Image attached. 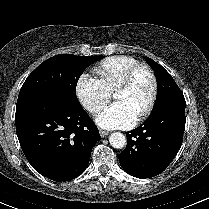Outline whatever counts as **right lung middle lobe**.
Listing matches in <instances>:
<instances>
[{
    "label": "right lung middle lobe",
    "instance_id": "obj_1",
    "mask_svg": "<svg viewBox=\"0 0 209 209\" xmlns=\"http://www.w3.org/2000/svg\"><path fill=\"white\" fill-rule=\"evenodd\" d=\"M102 56L59 54L41 63L25 80L16 111L48 96H60L78 102L76 85L80 75Z\"/></svg>",
    "mask_w": 209,
    "mask_h": 209
}]
</instances>
